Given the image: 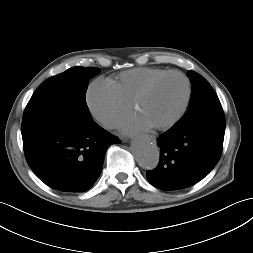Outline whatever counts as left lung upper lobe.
Wrapping results in <instances>:
<instances>
[{
    "instance_id": "5c2ea615",
    "label": "left lung upper lobe",
    "mask_w": 253,
    "mask_h": 253,
    "mask_svg": "<svg viewBox=\"0 0 253 253\" xmlns=\"http://www.w3.org/2000/svg\"><path fill=\"white\" fill-rule=\"evenodd\" d=\"M192 83V93L188 110L179 120L192 122L206 118H224V112L218 96L211 85L201 75L188 71Z\"/></svg>"
}]
</instances>
